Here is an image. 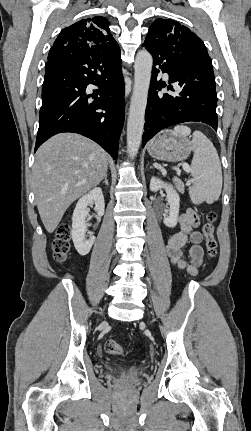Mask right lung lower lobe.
<instances>
[{"label": "right lung lower lobe", "mask_w": 251, "mask_h": 431, "mask_svg": "<svg viewBox=\"0 0 251 431\" xmlns=\"http://www.w3.org/2000/svg\"><path fill=\"white\" fill-rule=\"evenodd\" d=\"M89 84L98 87L92 94ZM124 113L121 59L106 65L55 52L45 65L35 151L51 136L73 132L94 140L116 160Z\"/></svg>", "instance_id": "1"}]
</instances>
